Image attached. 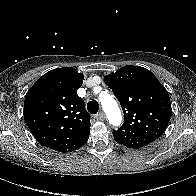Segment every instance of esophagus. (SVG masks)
<instances>
[{
    "mask_svg": "<svg viewBox=\"0 0 196 196\" xmlns=\"http://www.w3.org/2000/svg\"><path fill=\"white\" fill-rule=\"evenodd\" d=\"M94 118H95L96 120L102 121V120L105 119V114H104L103 112H99L98 114H96V115L94 116Z\"/></svg>",
    "mask_w": 196,
    "mask_h": 196,
    "instance_id": "1",
    "label": "esophagus"
}]
</instances>
